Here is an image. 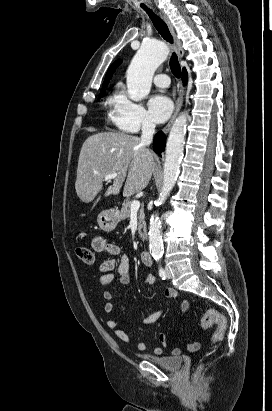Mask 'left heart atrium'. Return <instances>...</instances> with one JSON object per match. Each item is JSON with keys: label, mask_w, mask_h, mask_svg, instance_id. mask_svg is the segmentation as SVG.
Wrapping results in <instances>:
<instances>
[{"label": "left heart atrium", "mask_w": 272, "mask_h": 411, "mask_svg": "<svg viewBox=\"0 0 272 411\" xmlns=\"http://www.w3.org/2000/svg\"><path fill=\"white\" fill-rule=\"evenodd\" d=\"M148 106L153 120L158 123L166 121L173 109L172 101L165 95L152 96Z\"/></svg>", "instance_id": "1"}]
</instances>
